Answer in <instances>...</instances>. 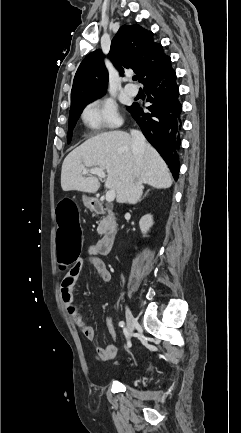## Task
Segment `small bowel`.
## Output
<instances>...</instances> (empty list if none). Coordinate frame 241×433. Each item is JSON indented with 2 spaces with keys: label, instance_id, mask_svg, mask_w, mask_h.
Segmentation results:
<instances>
[{
  "label": "small bowel",
  "instance_id": "small-bowel-1",
  "mask_svg": "<svg viewBox=\"0 0 241 433\" xmlns=\"http://www.w3.org/2000/svg\"><path fill=\"white\" fill-rule=\"evenodd\" d=\"M84 264L93 266L96 269L102 281L104 282L110 281L111 273L107 265L105 264V262L99 256L97 245H93L90 247L89 253L86 256V258L76 261L75 264L72 265L71 270H68L67 273L65 274L61 283V298L64 307L68 315L70 316V318L79 327L83 336L87 340L92 341L95 338V330L91 325L85 322L83 316L81 315L78 308L76 307L72 297V290L74 284ZM105 325L107 327L110 336L113 339H115L116 330L111 317H107L105 319ZM96 354L101 361L104 362L111 361L115 358L117 354V347L115 344H108L104 347H97Z\"/></svg>",
  "mask_w": 241,
  "mask_h": 433
}]
</instances>
